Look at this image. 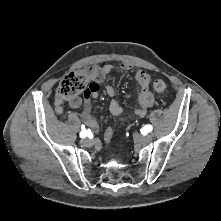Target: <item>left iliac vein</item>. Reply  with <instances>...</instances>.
Returning <instances> with one entry per match:
<instances>
[{"instance_id": "obj_1", "label": "left iliac vein", "mask_w": 221, "mask_h": 221, "mask_svg": "<svg viewBox=\"0 0 221 221\" xmlns=\"http://www.w3.org/2000/svg\"><path fill=\"white\" fill-rule=\"evenodd\" d=\"M135 141L140 144V145H146L152 141V136L151 135H134Z\"/></svg>"}]
</instances>
